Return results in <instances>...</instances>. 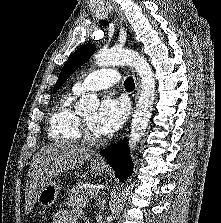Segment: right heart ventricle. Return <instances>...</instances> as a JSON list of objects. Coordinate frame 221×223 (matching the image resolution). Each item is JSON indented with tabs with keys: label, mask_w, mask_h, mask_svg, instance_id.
I'll return each instance as SVG.
<instances>
[{
	"label": "right heart ventricle",
	"mask_w": 221,
	"mask_h": 223,
	"mask_svg": "<svg viewBox=\"0 0 221 223\" xmlns=\"http://www.w3.org/2000/svg\"><path fill=\"white\" fill-rule=\"evenodd\" d=\"M75 92L62 95L53 106L48 121V136L55 142L76 143L80 137V116L73 110Z\"/></svg>",
	"instance_id": "1"
}]
</instances>
